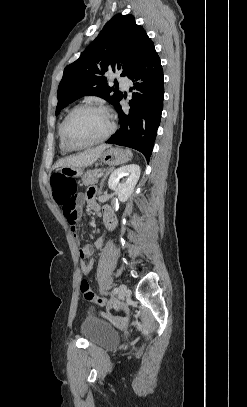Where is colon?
Listing matches in <instances>:
<instances>
[{"instance_id": "colon-1", "label": "colon", "mask_w": 247, "mask_h": 407, "mask_svg": "<svg viewBox=\"0 0 247 407\" xmlns=\"http://www.w3.org/2000/svg\"><path fill=\"white\" fill-rule=\"evenodd\" d=\"M51 187L55 201L60 204L76 195L78 185L75 180L69 179L63 174H55L51 177ZM80 292L88 302L96 303L101 306L110 305L108 299L97 296L92 291L89 281L85 278L80 282Z\"/></svg>"}]
</instances>
